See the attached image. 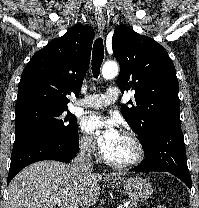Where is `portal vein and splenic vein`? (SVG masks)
Returning a JSON list of instances; mask_svg holds the SVG:
<instances>
[{
  "instance_id": "18ae733b",
  "label": "portal vein and splenic vein",
  "mask_w": 199,
  "mask_h": 208,
  "mask_svg": "<svg viewBox=\"0 0 199 208\" xmlns=\"http://www.w3.org/2000/svg\"><path fill=\"white\" fill-rule=\"evenodd\" d=\"M128 204L126 203L125 205H119L117 208H123V207H127ZM61 208H66L64 205H62ZM67 208H70V207H67Z\"/></svg>"
}]
</instances>
